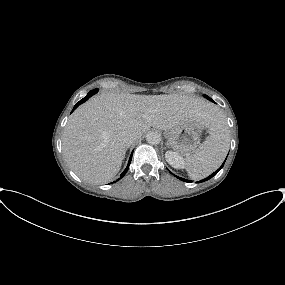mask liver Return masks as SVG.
<instances>
[{"instance_id":"liver-1","label":"liver","mask_w":285,"mask_h":285,"mask_svg":"<svg viewBox=\"0 0 285 285\" xmlns=\"http://www.w3.org/2000/svg\"><path fill=\"white\" fill-rule=\"evenodd\" d=\"M218 112L212 103L189 95L102 93L70 116L62 136L63 155L81 179L105 183L121 168L127 149L124 134L139 139L150 127L168 130L188 122L210 130Z\"/></svg>"}]
</instances>
